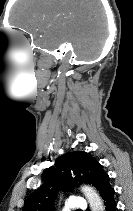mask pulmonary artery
<instances>
[{
  "label": "pulmonary artery",
  "mask_w": 133,
  "mask_h": 211,
  "mask_svg": "<svg viewBox=\"0 0 133 211\" xmlns=\"http://www.w3.org/2000/svg\"><path fill=\"white\" fill-rule=\"evenodd\" d=\"M70 207L75 210H84L87 207V203L84 198L75 196L71 200Z\"/></svg>",
  "instance_id": "e3ab8cb5"
}]
</instances>
